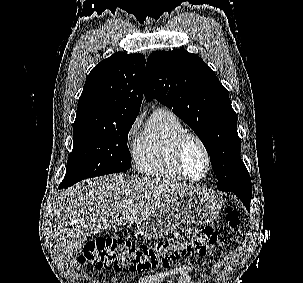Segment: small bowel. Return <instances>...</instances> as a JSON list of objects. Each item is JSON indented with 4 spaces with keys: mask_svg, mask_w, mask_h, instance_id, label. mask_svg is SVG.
<instances>
[{
    "mask_svg": "<svg viewBox=\"0 0 303 283\" xmlns=\"http://www.w3.org/2000/svg\"><path fill=\"white\" fill-rule=\"evenodd\" d=\"M189 272L188 265H179L169 271L157 273L154 275H144L138 278V283H162L168 279L180 276H186ZM112 283H119V279L117 277L112 278Z\"/></svg>",
    "mask_w": 303,
    "mask_h": 283,
    "instance_id": "1",
    "label": "small bowel"
}]
</instances>
